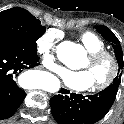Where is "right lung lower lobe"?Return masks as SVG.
Here are the masks:
<instances>
[{"label": "right lung lower lobe", "mask_w": 124, "mask_h": 124, "mask_svg": "<svg viewBox=\"0 0 124 124\" xmlns=\"http://www.w3.org/2000/svg\"><path fill=\"white\" fill-rule=\"evenodd\" d=\"M38 65L37 50L23 42L0 39V120L12 116L26 96L14 81L16 76Z\"/></svg>", "instance_id": "right-lung-lower-lobe-1"}]
</instances>
